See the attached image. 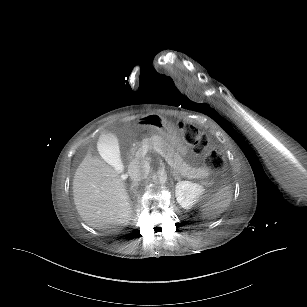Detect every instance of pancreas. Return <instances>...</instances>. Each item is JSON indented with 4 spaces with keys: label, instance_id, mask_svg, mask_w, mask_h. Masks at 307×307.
Listing matches in <instances>:
<instances>
[{
    "label": "pancreas",
    "instance_id": "1",
    "mask_svg": "<svg viewBox=\"0 0 307 307\" xmlns=\"http://www.w3.org/2000/svg\"><path fill=\"white\" fill-rule=\"evenodd\" d=\"M150 150H153L154 147L160 148L165 154V158L170 159L181 168L182 172L190 173V175H196L199 178L207 177L208 171L204 167H197L192 164H186L185 160L181 159L179 154L175 153L172 149L169 148V144L162 138V136L152 135L151 138L144 141Z\"/></svg>",
    "mask_w": 307,
    "mask_h": 307
}]
</instances>
